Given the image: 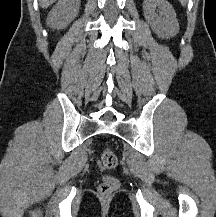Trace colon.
<instances>
[{
    "instance_id": "obj_1",
    "label": "colon",
    "mask_w": 216,
    "mask_h": 217,
    "mask_svg": "<svg viewBox=\"0 0 216 217\" xmlns=\"http://www.w3.org/2000/svg\"><path fill=\"white\" fill-rule=\"evenodd\" d=\"M118 158L111 149H105L100 153L98 166L101 170H111L116 168ZM119 187V180L113 176H106L98 187V193L103 198L110 197Z\"/></svg>"
}]
</instances>
